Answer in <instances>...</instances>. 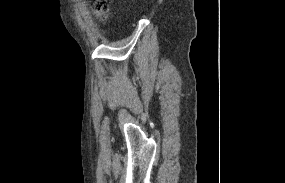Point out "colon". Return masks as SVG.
<instances>
[{"label": "colon", "instance_id": "1", "mask_svg": "<svg viewBox=\"0 0 285 183\" xmlns=\"http://www.w3.org/2000/svg\"><path fill=\"white\" fill-rule=\"evenodd\" d=\"M92 9L101 22H105L109 10V0H92Z\"/></svg>", "mask_w": 285, "mask_h": 183}]
</instances>
